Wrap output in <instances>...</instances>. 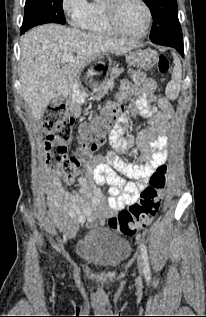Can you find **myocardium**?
<instances>
[{"instance_id": "obj_1", "label": "myocardium", "mask_w": 206, "mask_h": 317, "mask_svg": "<svg viewBox=\"0 0 206 317\" xmlns=\"http://www.w3.org/2000/svg\"><path fill=\"white\" fill-rule=\"evenodd\" d=\"M123 2L124 0H104L105 13H106V18H107L109 27L111 28L114 34L122 38L130 39V40H137V39L144 38L150 32L152 20H153L152 11L149 5L147 4L145 0H137V2H139L142 5V7L144 8L146 12V18H147L146 26H145V29L141 33L136 35H130L125 33L118 24V11H119L120 5Z\"/></svg>"}]
</instances>
